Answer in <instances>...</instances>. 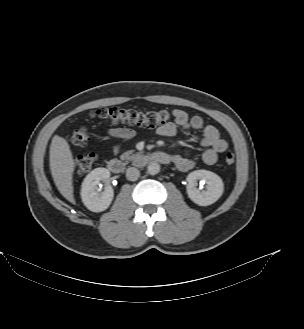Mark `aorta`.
<instances>
[{"label": "aorta", "mask_w": 304, "mask_h": 329, "mask_svg": "<svg viewBox=\"0 0 304 329\" xmlns=\"http://www.w3.org/2000/svg\"><path fill=\"white\" fill-rule=\"evenodd\" d=\"M147 171L150 175H156L160 172V165L156 162H152L148 165Z\"/></svg>", "instance_id": "aorta-1"}]
</instances>
